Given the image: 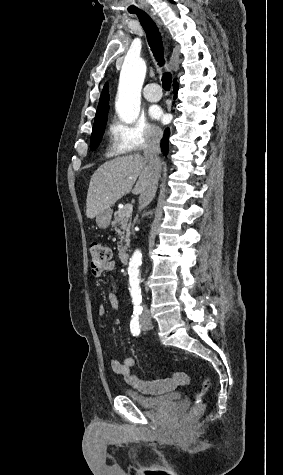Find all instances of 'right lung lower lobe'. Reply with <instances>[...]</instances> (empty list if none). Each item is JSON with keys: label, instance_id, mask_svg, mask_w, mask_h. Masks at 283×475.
I'll return each mask as SVG.
<instances>
[{"label": "right lung lower lobe", "instance_id": "98d812e1", "mask_svg": "<svg viewBox=\"0 0 283 475\" xmlns=\"http://www.w3.org/2000/svg\"><path fill=\"white\" fill-rule=\"evenodd\" d=\"M178 86H179V84L177 83V81H174L173 89H174L175 94L178 91ZM169 136H170V130H169V128H167V129H165L164 136H163V139L161 141V150L164 152L165 156L168 154V143H169L168 138H169Z\"/></svg>", "mask_w": 283, "mask_h": 475}]
</instances>
